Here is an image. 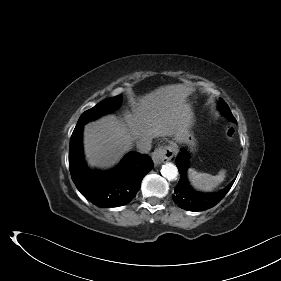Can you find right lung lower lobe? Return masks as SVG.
<instances>
[{"instance_id":"obj_1","label":"right lung lower lobe","mask_w":281,"mask_h":281,"mask_svg":"<svg viewBox=\"0 0 281 281\" xmlns=\"http://www.w3.org/2000/svg\"><path fill=\"white\" fill-rule=\"evenodd\" d=\"M83 125L76 126L70 139L69 169L80 193L98 207H118L129 203L141 186L143 177L153 168L147 155L129 153L111 171L90 170L83 158Z\"/></svg>"}]
</instances>
